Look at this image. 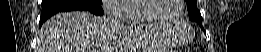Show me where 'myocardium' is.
<instances>
[{
	"label": "myocardium",
	"mask_w": 261,
	"mask_h": 52,
	"mask_svg": "<svg viewBox=\"0 0 261 52\" xmlns=\"http://www.w3.org/2000/svg\"><path fill=\"white\" fill-rule=\"evenodd\" d=\"M156 1V0H143L139 3L141 8V15L144 16L150 23H156V24H173L180 20L184 13V0H177L179 5V12L177 16L173 19H161L157 17H152L146 12V7L149 2Z\"/></svg>",
	"instance_id": "1"
}]
</instances>
